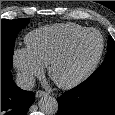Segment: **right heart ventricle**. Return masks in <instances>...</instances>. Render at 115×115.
I'll return each mask as SVG.
<instances>
[{
    "label": "right heart ventricle",
    "instance_id": "1",
    "mask_svg": "<svg viewBox=\"0 0 115 115\" xmlns=\"http://www.w3.org/2000/svg\"><path fill=\"white\" fill-rule=\"evenodd\" d=\"M87 29L75 23H56L41 26L29 32L25 37L26 48L42 66L77 33Z\"/></svg>",
    "mask_w": 115,
    "mask_h": 115
}]
</instances>
